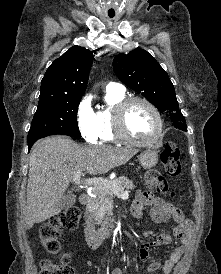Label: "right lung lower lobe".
Segmentation results:
<instances>
[{"label":"right lung lower lobe","mask_w":221,"mask_h":274,"mask_svg":"<svg viewBox=\"0 0 221 274\" xmlns=\"http://www.w3.org/2000/svg\"><path fill=\"white\" fill-rule=\"evenodd\" d=\"M35 142H36V141H35ZM35 142L28 143L29 149L32 147V145H33Z\"/></svg>","instance_id":"right-lung-lower-lobe-1"}]
</instances>
